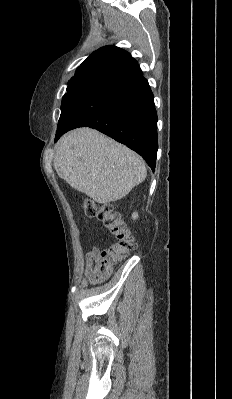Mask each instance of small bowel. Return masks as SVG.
Returning <instances> with one entry per match:
<instances>
[{
	"instance_id": "c3829d8e",
	"label": "small bowel",
	"mask_w": 232,
	"mask_h": 399,
	"mask_svg": "<svg viewBox=\"0 0 232 399\" xmlns=\"http://www.w3.org/2000/svg\"><path fill=\"white\" fill-rule=\"evenodd\" d=\"M94 252L90 251L86 255V266L84 269V277L89 281L90 284L93 283L95 273L93 269Z\"/></svg>"
}]
</instances>
